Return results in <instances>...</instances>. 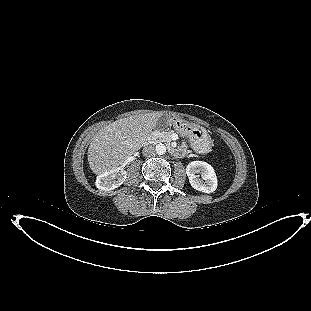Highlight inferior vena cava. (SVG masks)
Returning a JSON list of instances; mask_svg holds the SVG:
<instances>
[{
	"label": "inferior vena cava",
	"mask_w": 311,
	"mask_h": 311,
	"mask_svg": "<svg viewBox=\"0 0 311 311\" xmlns=\"http://www.w3.org/2000/svg\"><path fill=\"white\" fill-rule=\"evenodd\" d=\"M142 153L144 156L150 157V156L154 155L155 149L152 145H148V146H145L143 148Z\"/></svg>",
	"instance_id": "obj_1"
}]
</instances>
